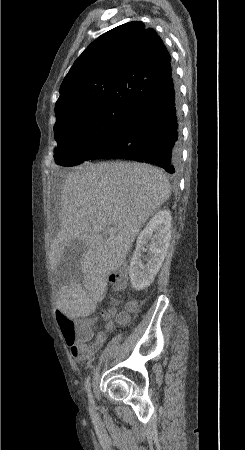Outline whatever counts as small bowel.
Instances as JSON below:
<instances>
[{"label":"small bowel","instance_id":"1","mask_svg":"<svg viewBox=\"0 0 245 450\" xmlns=\"http://www.w3.org/2000/svg\"><path fill=\"white\" fill-rule=\"evenodd\" d=\"M68 299L69 296L59 302V312L65 313L79 320L87 321L89 323L93 322L92 318L81 317L80 315L74 313L71 310L70 302ZM106 338V333L104 331H99L92 341L90 339L86 341L74 340L73 342L68 343V345L72 356L78 360L84 361L90 359L99 350V348L106 342Z\"/></svg>","mask_w":245,"mask_h":450}]
</instances>
